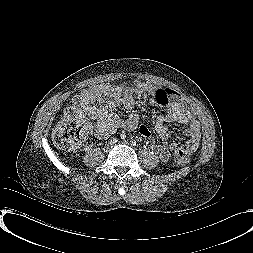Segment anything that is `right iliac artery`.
Instances as JSON below:
<instances>
[{
  "label": "right iliac artery",
  "mask_w": 253,
  "mask_h": 253,
  "mask_svg": "<svg viewBox=\"0 0 253 253\" xmlns=\"http://www.w3.org/2000/svg\"><path fill=\"white\" fill-rule=\"evenodd\" d=\"M111 142L116 143V142H117V139H113V140H111Z\"/></svg>",
  "instance_id": "right-iliac-artery-1"
}]
</instances>
